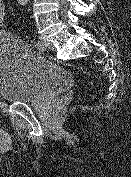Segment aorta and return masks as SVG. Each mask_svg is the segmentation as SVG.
I'll list each match as a JSON object with an SVG mask.
<instances>
[{
    "instance_id": "aorta-1",
    "label": "aorta",
    "mask_w": 131,
    "mask_h": 177,
    "mask_svg": "<svg viewBox=\"0 0 131 177\" xmlns=\"http://www.w3.org/2000/svg\"><path fill=\"white\" fill-rule=\"evenodd\" d=\"M29 0H18L20 4H26Z\"/></svg>"
}]
</instances>
